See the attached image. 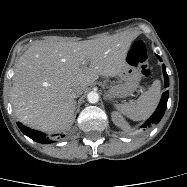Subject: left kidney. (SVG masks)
I'll return each mask as SVG.
<instances>
[{
	"mask_svg": "<svg viewBox=\"0 0 187 187\" xmlns=\"http://www.w3.org/2000/svg\"><path fill=\"white\" fill-rule=\"evenodd\" d=\"M111 118H112V121L113 123L120 127V128H127L128 127V124L126 123L125 119L121 116L120 113L114 111L111 113Z\"/></svg>",
	"mask_w": 187,
	"mask_h": 187,
	"instance_id": "obj_1",
	"label": "left kidney"
}]
</instances>
